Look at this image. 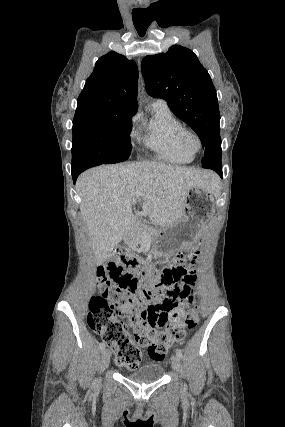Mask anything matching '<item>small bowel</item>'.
<instances>
[{"mask_svg": "<svg viewBox=\"0 0 285 427\" xmlns=\"http://www.w3.org/2000/svg\"><path fill=\"white\" fill-rule=\"evenodd\" d=\"M188 274L194 275V269H188ZM180 291L183 290L179 287ZM189 290H186L188 293ZM176 299V296H172L169 293H164L157 301H155L151 308L147 310V322L156 328L163 327L165 320L163 316L169 312V304Z\"/></svg>", "mask_w": 285, "mask_h": 427, "instance_id": "obj_1", "label": "small bowel"}]
</instances>
